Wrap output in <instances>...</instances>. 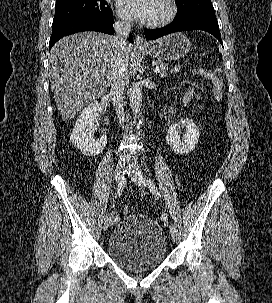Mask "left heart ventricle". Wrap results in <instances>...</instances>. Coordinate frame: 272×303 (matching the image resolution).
Wrapping results in <instances>:
<instances>
[{
    "instance_id": "left-heart-ventricle-1",
    "label": "left heart ventricle",
    "mask_w": 272,
    "mask_h": 303,
    "mask_svg": "<svg viewBox=\"0 0 272 303\" xmlns=\"http://www.w3.org/2000/svg\"><path fill=\"white\" fill-rule=\"evenodd\" d=\"M165 12H166V5L164 4L163 0H157L156 11L152 20H156L162 17L165 14Z\"/></svg>"
}]
</instances>
